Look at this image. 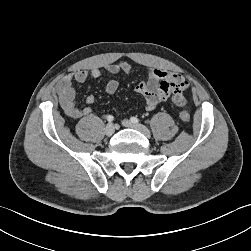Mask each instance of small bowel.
Instances as JSON below:
<instances>
[{
  "instance_id": "small-bowel-1",
  "label": "small bowel",
  "mask_w": 251,
  "mask_h": 251,
  "mask_svg": "<svg viewBox=\"0 0 251 251\" xmlns=\"http://www.w3.org/2000/svg\"><path fill=\"white\" fill-rule=\"evenodd\" d=\"M106 71L110 74H131L132 67L127 62H117L106 66ZM102 76V70L92 68L91 70H78L72 74L64 76L57 84L60 105L65 114L72 119H79L88 116L93 111L95 98L90 95L85 100L82 107L76 104V91L74 82L84 83L89 78L98 79ZM119 88V83L115 79L107 81L105 91L114 94ZM188 88V82L178 73L161 69L149 68L146 71V78L140 82L136 88L137 92L145 99L146 109L154 110L157 105L171 99L178 107L185 106L184 91Z\"/></svg>"
}]
</instances>
